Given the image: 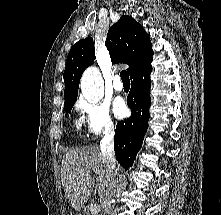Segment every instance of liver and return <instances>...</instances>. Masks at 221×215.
Returning <instances> with one entry per match:
<instances>
[{
  "mask_svg": "<svg viewBox=\"0 0 221 215\" xmlns=\"http://www.w3.org/2000/svg\"><path fill=\"white\" fill-rule=\"evenodd\" d=\"M61 181L76 211L89 200L95 186L102 196L108 184V168L100 150L94 146L69 149L62 159Z\"/></svg>",
  "mask_w": 221,
  "mask_h": 215,
  "instance_id": "obj_1",
  "label": "liver"
}]
</instances>
